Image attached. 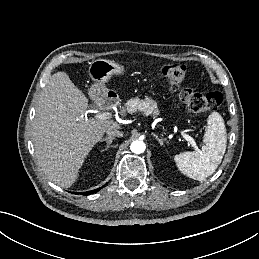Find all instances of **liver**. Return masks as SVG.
Instances as JSON below:
<instances>
[{"instance_id":"1","label":"liver","mask_w":259,"mask_h":259,"mask_svg":"<svg viewBox=\"0 0 259 259\" xmlns=\"http://www.w3.org/2000/svg\"><path fill=\"white\" fill-rule=\"evenodd\" d=\"M87 107L88 98L65 72L51 76L36 107L35 156L48 179L63 188L76 181L86 157L106 130L121 127L112 119L84 117ZM120 114L125 116V109Z\"/></svg>"}]
</instances>
